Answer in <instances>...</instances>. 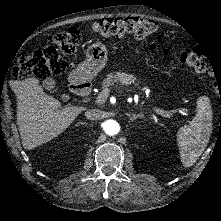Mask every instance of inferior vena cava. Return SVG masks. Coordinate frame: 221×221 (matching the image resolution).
Wrapping results in <instances>:
<instances>
[{
  "label": "inferior vena cava",
  "mask_w": 221,
  "mask_h": 221,
  "mask_svg": "<svg viewBox=\"0 0 221 221\" xmlns=\"http://www.w3.org/2000/svg\"><path fill=\"white\" fill-rule=\"evenodd\" d=\"M85 117L88 120H101L105 117V113L100 109H89L85 111Z\"/></svg>",
  "instance_id": "obj_1"
}]
</instances>
